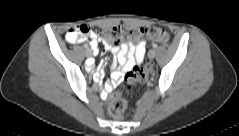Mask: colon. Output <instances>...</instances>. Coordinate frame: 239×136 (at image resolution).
<instances>
[{
  "label": "colon",
  "mask_w": 239,
  "mask_h": 136,
  "mask_svg": "<svg viewBox=\"0 0 239 136\" xmlns=\"http://www.w3.org/2000/svg\"><path fill=\"white\" fill-rule=\"evenodd\" d=\"M93 33L89 26L78 25L71 28L67 32V38L71 42H76L80 38ZM95 34L98 37H102L110 44H117L123 38H128L132 41H138L140 39H149L151 41L165 43L169 39L168 33L158 27L152 28H139L128 26L125 24H119L109 27H98L95 30ZM151 69V63L144 60L138 65L134 66L124 76V82L126 89H131L134 86L140 84L146 79L147 73ZM127 104L125 99L120 94H115L109 103V112L114 118H120L126 110Z\"/></svg>",
  "instance_id": "5ec220e1"
}]
</instances>
